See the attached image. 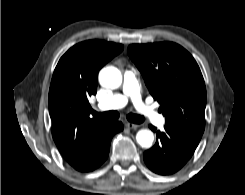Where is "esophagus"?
Here are the masks:
<instances>
[{
	"instance_id": "esophagus-1",
	"label": "esophagus",
	"mask_w": 245,
	"mask_h": 195,
	"mask_svg": "<svg viewBox=\"0 0 245 195\" xmlns=\"http://www.w3.org/2000/svg\"><path fill=\"white\" fill-rule=\"evenodd\" d=\"M125 126H126V128H128V129H137V128L139 127L138 124H134V123H130V122H127V123L125 124Z\"/></svg>"
}]
</instances>
